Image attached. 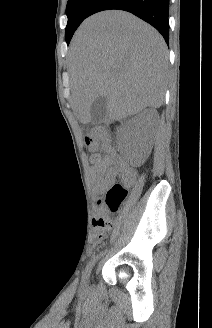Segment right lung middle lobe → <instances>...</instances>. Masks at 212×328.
I'll list each match as a JSON object with an SVG mask.
<instances>
[{
    "instance_id": "obj_1",
    "label": "right lung middle lobe",
    "mask_w": 212,
    "mask_h": 328,
    "mask_svg": "<svg viewBox=\"0 0 212 328\" xmlns=\"http://www.w3.org/2000/svg\"><path fill=\"white\" fill-rule=\"evenodd\" d=\"M96 0H68L66 14L68 23L65 30L66 42L69 44L75 30L88 17V12Z\"/></svg>"
}]
</instances>
